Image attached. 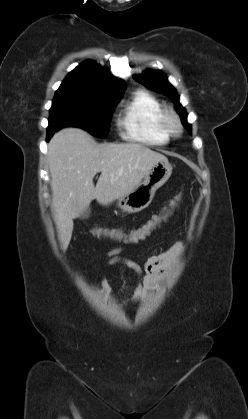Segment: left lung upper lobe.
<instances>
[{
  "label": "left lung upper lobe",
  "instance_id": "left-lung-upper-lobe-1",
  "mask_svg": "<svg viewBox=\"0 0 248 419\" xmlns=\"http://www.w3.org/2000/svg\"><path fill=\"white\" fill-rule=\"evenodd\" d=\"M134 79L139 83L161 91L171 97L176 105V110L179 113L184 126L191 134V125L187 123V113L179 103V96L175 88L167 81V78L163 72L147 70L141 75L135 76Z\"/></svg>",
  "mask_w": 248,
  "mask_h": 419
}]
</instances>
